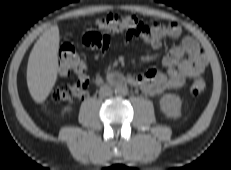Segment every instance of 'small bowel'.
Here are the masks:
<instances>
[{
	"label": "small bowel",
	"mask_w": 231,
	"mask_h": 170,
	"mask_svg": "<svg viewBox=\"0 0 231 170\" xmlns=\"http://www.w3.org/2000/svg\"><path fill=\"white\" fill-rule=\"evenodd\" d=\"M182 34L179 24L171 22L167 25L153 23L145 27L138 35L148 46L156 49L165 38L178 39ZM133 36L125 35L128 43ZM112 34L102 31H91L83 36V45L89 49L103 53L111 44ZM164 70L150 69L141 74L126 77L128 83L140 87L149 95H157L167 90L182 87L189 78L197 77L206 67V59L198 45L191 37H185L163 58Z\"/></svg>",
	"instance_id": "small-bowel-1"
}]
</instances>
